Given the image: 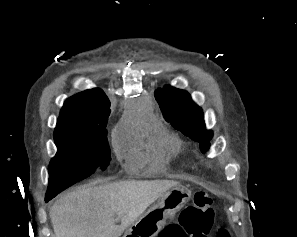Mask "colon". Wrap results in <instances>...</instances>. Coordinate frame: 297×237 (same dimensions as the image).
<instances>
[{
	"mask_svg": "<svg viewBox=\"0 0 297 237\" xmlns=\"http://www.w3.org/2000/svg\"><path fill=\"white\" fill-rule=\"evenodd\" d=\"M215 214L211 197L202 190L193 195L192 204L182 210L177 222L167 225L158 237H208ZM218 237H231L225 228H220Z\"/></svg>",
	"mask_w": 297,
	"mask_h": 237,
	"instance_id": "colon-1",
	"label": "colon"
}]
</instances>
